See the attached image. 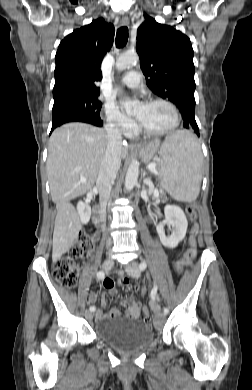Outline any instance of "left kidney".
Returning <instances> with one entry per match:
<instances>
[{"mask_svg": "<svg viewBox=\"0 0 252 390\" xmlns=\"http://www.w3.org/2000/svg\"><path fill=\"white\" fill-rule=\"evenodd\" d=\"M165 219L156 226L161 243L167 248H176L186 235L188 221L183 210L175 205H166ZM171 227V234L166 235L165 226Z\"/></svg>", "mask_w": 252, "mask_h": 390, "instance_id": "1", "label": "left kidney"}]
</instances>
